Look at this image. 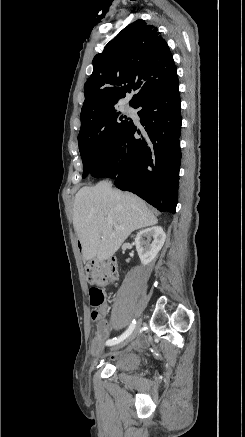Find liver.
Listing matches in <instances>:
<instances>
[{"label": "liver", "mask_w": 245, "mask_h": 437, "mask_svg": "<svg viewBox=\"0 0 245 437\" xmlns=\"http://www.w3.org/2000/svg\"><path fill=\"white\" fill-rule=\"evenodd\" d=\"M107 218L113 224L107 223ZM157 222L143 200L113 189L108 181L83 187L75 195L73 226L84 260L109 259L133 231Z\"/></svg>", "instance_id": "6515ba94"}]
</instances>
